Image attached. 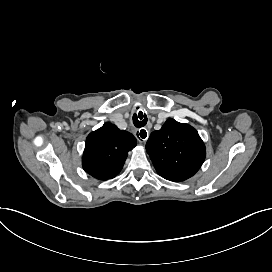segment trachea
<instances>
[{"instance_id":"trachea-1","label":"trachea","mask_w":272,"mask_h":272,"mask_svg":"<svg viewBox=\"0 0 272 272\" xmlns=\"http://www.w3.org/2000/svg\"><path fill=\"white\" fill-rule=\"evenodd\" d=\"M133 123H134V126H135V127H137V128H142V127H144V126L146 125V123H147V118H146V116H145L144 119H142V120L139 121L137 117H134ZM141 132H144L145 135H146V131H145V130H141Z\"/></svg>"}]
</instances>
